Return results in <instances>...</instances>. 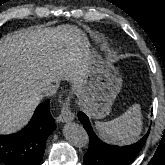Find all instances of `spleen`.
<instances>
[{
  "label": "spleen",
  "mask_w": 165,
  "mask_h": 165,
  "mask_svg": "<svg viewBox=\"0 0 165 165\" xmlns=\"http://www.w3.org/2000/svg\"><path fill=\"white\" fill-rule=\"evenodd\" d=\"M142 114L139 104L132 105L119 117L108 122H96L101 138L112 144L126 145L137 140L142 131Z\"/></svg>",
  "instance_id": "obj_1"
}]
</instances>
